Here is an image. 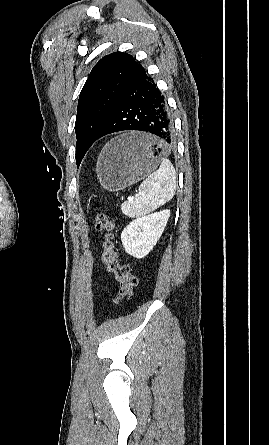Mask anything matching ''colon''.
Returning <instances> with one entry per match:
<instances>
[{
	"mask_svg": "<svg viewBox=\"0 0 269 445\" xmlns=\"http://www.w3.org/2000/svg\"><path fill=\"white\" fill-rule=\"evenodd\" d=\"M95 227L97 230L104 232L101 253L102 263L119 285V292L114 302L116 304L123 303L132 296L137 285V278L128 264H122L119 261L113 219L106 214L98 213L95 216Z\"/></svg>",
	"mask_w": 269,
	"mask_h": 445,
	"instance_id": "obj_1",
	"label": "colon"
}]
</instances>
